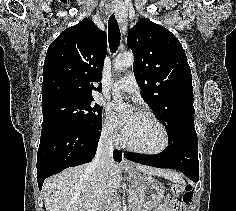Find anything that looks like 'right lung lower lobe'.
<instances>
[{
	"instance_id": "98d812e1",
	"label": "right lung lower lobe",
	"mask_w": 236,
	"mask_h": 211,
	"mask_svg": "<svg viewBox=\"0 0 236 211\" xmlns=\"http://www.w3.org/2000/svg\"><path fill=\"white\" fill-rule=\"evenodd\" d=\"M100 130L61 122L42 124L37 156L39 189H42L44 180L51 175L90 162L96 154ZM113 157L116 162H120L122 152L114 150Z\"/></svg>"
}]
</instances>
